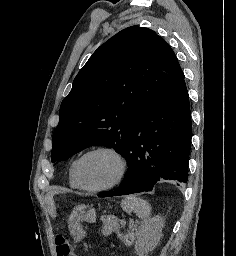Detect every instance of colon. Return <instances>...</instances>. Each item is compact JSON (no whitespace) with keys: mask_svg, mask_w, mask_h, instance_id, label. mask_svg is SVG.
<instances>
[{"mask_svg":"<svg viewBox=\"0 0 236 256\" xmlns=\"http://www.w3.org/2000/svg\"><path fill=\"white\" fill-rule=\"evenodd\" d=\"M55 244H56V252L57 256H72V251L70 249V246L67 242V239L64 235L60 233L58 230V233L55 237Z\"/></svg>","mask_w":236,"mask_h":256,"instance_id":"5ec220e1","label":"colon"}]
</instances>
